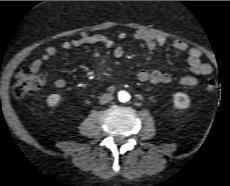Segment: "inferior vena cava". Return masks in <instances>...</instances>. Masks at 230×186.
Returning <instances> with one entry per match:
<instances>
[{
  "label": "inferior vena cava",
  "mask_w": 230,
  "mask_h": 186,
  "mask_svg": "<svg viewBox=\"0 0 230 186\" xmlns=\"http://www.w3.org/2000/svg\"><path fill=\"white\" fill-rule=\"evenodd\" d=\"M113 98H114V97H113L112 94H110V93H105V94H103L102 96H100L99 102H100V104H106V103L112 101Z\"/></svg>",
  "instance_id": "602c4592"
}]
</instances>
